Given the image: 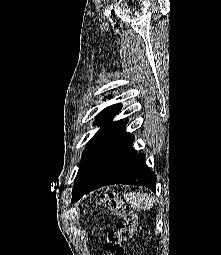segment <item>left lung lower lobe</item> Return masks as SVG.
Returning a JSON list of instances; mask_svg holds the SVG:
<instances>
[{
  "label": "left lung lower lobe",
  "mask_w": 221,
  "mask_h": 255,
  "mask_svg": "<svg viewBox=\"0 0 221 255\" xmlns=\"http://www.w3.org/2000/svg\"><path fill=\"white\" fill-rule=\"evenodd\" d=\"M122 121L98 146L86 163L72 191V202L110 184L142 185L156 190V176L146 166L145 155L135 152L134 136L127 134Z\"/></svg>",
  "instance_id": "obj_1"
}]
</instances>
